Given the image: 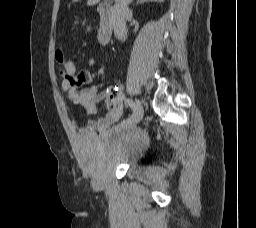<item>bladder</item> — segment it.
<instances>
[{
	"label": "bladder",
	"instance_id": "1",
	"mask_svg": "<svg viewBox=\"0 0 256 228\" xmlns=\"http://www.w3.org/2000/svg\"><path fill=\"white\" fill-rule=\"evenodd\" d=\"M147 135L137 129L117 126L102 135L81 133L77 152L94 178L111 168L132 163L147 143Z\"/></svg>",
	"mask_w": 256,
	"mask_h": 228
}]
</instances>
